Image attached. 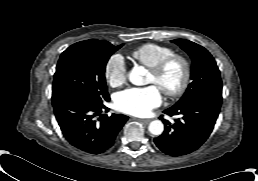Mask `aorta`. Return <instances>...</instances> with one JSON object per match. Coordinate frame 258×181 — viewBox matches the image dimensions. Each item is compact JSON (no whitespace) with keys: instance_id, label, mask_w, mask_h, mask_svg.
<instances>
[{"instance_id":"obj_1","label":"aorta","mask_w":258,"mask_h":181,"mask_svg":"<svg viewBox=\"0 0 258 181\" xmlns=\"http://www.w3.org/2000/svg\"><path fill=\"white\" fill-rule=\"evenodd\" d=\"M146 74V70L142 66L134 67L129 73V81L137 86L144 85V76ZM148 130L153 135H161L164 130V125L160 120L152 121L149 126Z\"/></svg>"}]
</instances>
